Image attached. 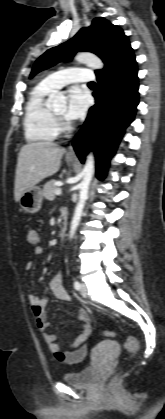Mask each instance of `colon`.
<instances>
[{
    "label": "colon",
    "instance_id": "colon-1",
    "mask_svg": "<svg viewBox=\"0 0 165 419\" xmlns=\"http://www.w3.org/2000/svg\"><path fill=\"white\" fill-rule=\"evenodd\" d=\"M32 240L35 241L36 237L34 235H32ZM104 336L106 338H112L113 337V332L109 331V330H105L104 331ZM124 347L128 353V355L130 357L136 355L139 352L140 349V345L139 342L133 337V336H128L124 342Z\"/></svg>",
    "mask_w": 165,
    "mask_h": 419
}]
</instances>
